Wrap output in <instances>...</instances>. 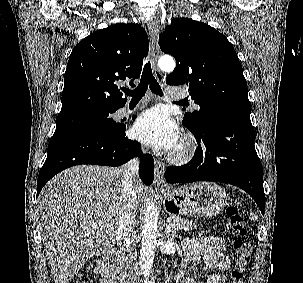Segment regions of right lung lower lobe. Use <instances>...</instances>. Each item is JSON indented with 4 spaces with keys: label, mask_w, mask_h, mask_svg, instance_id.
<instances>
[{
    "label": "right lung lower lobe",
    "mask_w": 303,
    "mask_h": 283,
    "mask_svg": "<svg viewBox=\"0 0 303 283\" xmlns=\"http://www.w3.org/2000/svg\"><path fill=\"white\" fill-rule=\"evenodd\" d=\"M125 129L106 135L83 131L54 134L38 176L37 196L53 176L66 168L81 164L116 167L140 155V144L128 139ZM139 176L146 185L153 182L154 160L150 154L142 156Z\"/></svg>",
    "instance_id": "98d812e1"
}]
</instances>
